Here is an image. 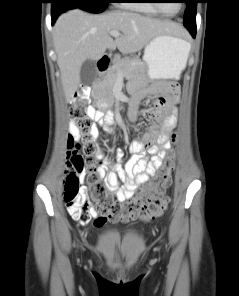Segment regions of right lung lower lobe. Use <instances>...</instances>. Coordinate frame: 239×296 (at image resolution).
<instances>
[{
    "mask_svg": "<svg viewBox=\"0 0 239 296\" xmlns=\"http://www.w3.org/2000/svg\"><path fill=\"white\" fill-rule=\"evenodd\" d=\"M55 5L52 6V12H51V17H52V24L56 21L57 17L64 12L62 8V4L60 1H56L54 3Z\"/></svg>",
    "mask_w": 239,
    "mask_h": 296,
    "instance_id": "1",
    "label": "right lung lower lobe"
}]
</instances>
